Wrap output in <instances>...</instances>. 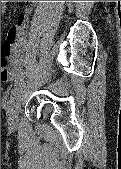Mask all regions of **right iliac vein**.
Instances as JSON below:
<instances>
[{
    "label": "right iliac vein",
    "instance_id": "obj_1",
    "mask_svg": "<svg viewBox=\"0 0 121 169\" xmlns=\"http://www.w3.org/2000/svg\"><path fill=\"white\" fill-rule=\"evenodd\" d=\"M24 88H25V84L24 83L20 84L10 100V107L8 110V121L12 128L16 127L17 125L18 112L20 109Z\"/></svg>",
    "mask_w": 121,
    "mask_h": 169
}]
</instances>
